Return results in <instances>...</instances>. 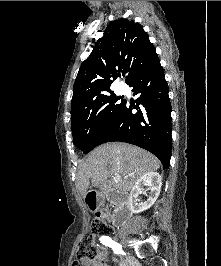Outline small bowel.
<instances>
[{
  "label": "small bowel",
  "instance_id": "obj_1",
  "mask_svg": "<svg viewBox=\"0 0 221 266\" xmlns=\"http://www.w3.org/2000/svg\"><path fill=\"white\" fill-rule=\"evenodd\" d=\"M106 256H107V251L105 249H102L99 251L98 256L95 260L82 262V266H107L105 263ZM72 266H81V264L79 262H73Z\"/></svg>",
  "mask_w": 221,
  "mask_h": 266
}]
</instances>
